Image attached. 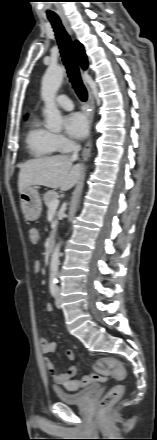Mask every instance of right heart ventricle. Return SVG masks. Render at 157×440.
I'll list each match as a JSON object with an SVG mask.
<instances>
[{
	"mask_svg": "<svg viewBox=\"0 0 157 440\" xmlns=\"http://www.w3.org/2000/svg\"><path fill=\"white\" fill-rule=\"evenodd\" d=\"M25 143L29 153L35 157L47 156L56 150L52 133L40 124L37 116L30 121Z\"/></svg>",
	"mask_w": 157,
	"mask_h": 440,
	"instance_id": "right-heart-ventricle-1",
	"label": "right heart ventricle"
}]
</instances>
